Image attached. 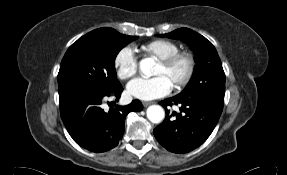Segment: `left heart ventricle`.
Masks as SVG:
<instances>
[{
    "instance_id": "1",
    "label": "left heart ventricle",
    "mask_w": 287,
    "mask_h": 175,
    "mask_svg": "<svg viewBox=\"0 0 287 175\" xmlns=\"http://www.w3.org/2000/svg\"><path fill=\"white\" fill-rule=\"evenodd\" d=\"M184 72L185 64L183 62L178 63L172 69H166L160 63H158L154 71V75H164L169 79L171 84H173L174 81L180 76H182Z\"/></svg>"
}]
</instances>
